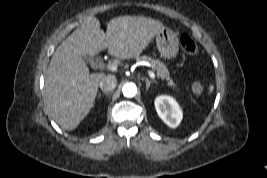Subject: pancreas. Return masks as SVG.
<instances>
[{
  "mask_svg": "<svg viewBox=\"0 0 267 178\" xmlns=\"http://www.w3.org/2000/svg\"><path fill=\"white\" fill-rule=\"evenodd\" d=\"M136 59L139 61L149 62L151 64L152 69L156 72L159 78H161L162 80L165 79L169 86H171L174 89L176 88V84L173 82L172 78H170L169 76L170 73L163 62H161L158 59H153L151 57L139 56V55L136 56Z\"/></svg>",
  "mask_w": 267,
  "mask_h": 178,
  "instance_id": "pancreas-1",
  "label": "pancreas"
}]
</instances>
